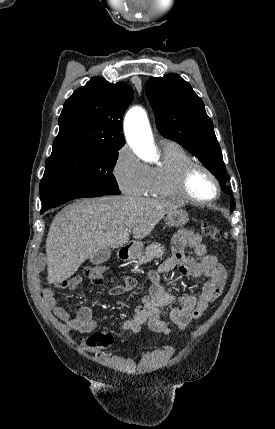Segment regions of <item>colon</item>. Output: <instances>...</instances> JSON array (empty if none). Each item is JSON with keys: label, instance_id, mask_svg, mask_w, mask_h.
Segmentation results:
<instances>
[{"label": "colon", "instance_id": "colon-1", "mask_svg": "<svg viewBox=\"0 0 275 429\" xmlns=\"http://www.w3.org/2000/svg\"><path fill=\"white\" fill-rule=\"evenodd\" d=\"M201 233L203 236L212 241H219L222 237L221 230L214 224L209 222L201 223ZM108 272V267L104 264L88 265L84 268V276L92 283H101ZM112 343V336L106 333H95L82 341L83 347L90 351L96 352L98 350L108 347Z\"/></svg>", "mask_w": 275, "mask_h": 429}]
</instances>
